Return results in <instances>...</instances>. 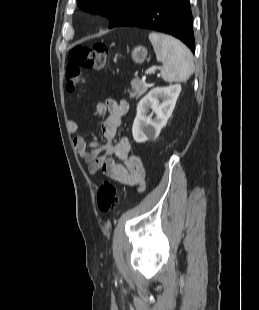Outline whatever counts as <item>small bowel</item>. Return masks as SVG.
<instances>
[{
	"label": "small bowel",
	"mask_w": 259,
	"mask_h": 310,
	"mask_svg": "<svg viewBox=\"0 0 259 310\" xmlns=\"http://www.w3.org/2000/svg\"><path fill=\"white\" fill-rule=\"evenodd\" d=\"M128 110L129 103L126 100L108 99L99 103L93 115L104 117L101 124L103 141L87 143L82 136H76L74 147L81 156L82 163L87 166L90 176L102 172L111 180L137 187L141 192L146 187L145 169L141 158L130 153L131 142L128 138L123 137L115 141L118 128ZM67 128L71 134H75L79 130V123L69 120ZM116 158L121 162H117Z\"/></svg>",
	"instance_id": "1"
}]
</instances>
